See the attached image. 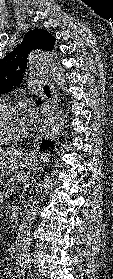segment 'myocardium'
I'll list each match as a JSON object with an SVG mask.
<instances>
[{"label":"myocardium","instance_id":"f54148a6","mask_svg":"<svg viewBox=\"0 0 113 279\" xmlns=\"http://www.w3.org/2000/svg\"><path fill=\"white\" fill-rule=\"evenodd\" d=\"M0 104H11L19 107L26 108V104L23 100L16 99V98H0ZM29 127L18 136L15 137H0V144H10V143H17L24 140L29 135Z\"/></svg>","mask_w":113,"mask_h":279}]
</instances>
